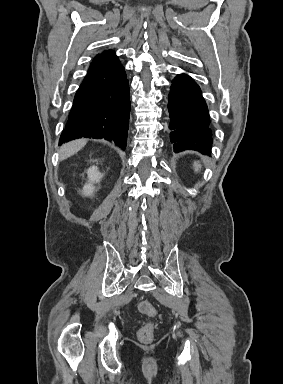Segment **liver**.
I'll list each match as a JSON object with an SVG mask.
<instances>
[{
	"label": "liver",
	"mask_w": 283,
	"mask_h": 384,
	"mask_svg": "<svg viewBox=\"0 0 283 384\" xmlns=\"http://www.w3.org/2000/svg\"><path fill=\"white\" fill-rule=\"evenodd\" d=\"M87 140H74V142H68V144H63L62 148L59 150L60 160H67L73 154H77L79 150H82L86 146Z\"/></svg>",
	"instance_id": "liver-1"
}]
</instances>
